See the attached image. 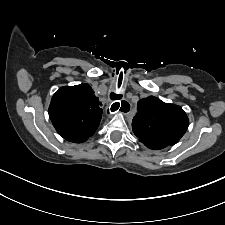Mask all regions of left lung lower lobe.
Instances as JSON below:
<instances>
[{
  "label": "left lung lower lobe",
  "instance_id": "left-lung-lower-lobe-1",
  "mask_svg": "<svg viewBox=\"0 0 225 225\" xmlns=\"http://www.w3.org/2000/svg\"><path fill=\"white\" fill-rule=\"evenodd\" d=\"M144 145L150 149H153V150H159V149H163L165 147L163 146H158V145H154V144H148V143H144Z\"/></svg>",
  "mask_w": 225,
  "mask_h": 225
}]
</instances>
